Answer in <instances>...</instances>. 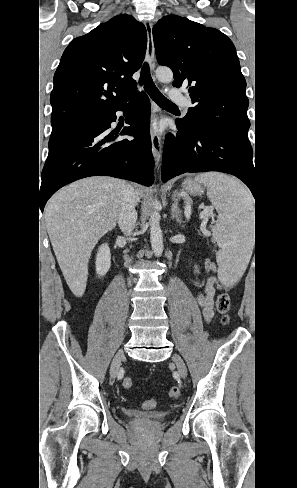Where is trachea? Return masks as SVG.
Here are the masks:
<instances>
[{
	"mask_svg": "<svg viewBox=\"0 0 297 488\" xmlns=\"http://www.w3.org/2000/svg\"><path fill=\"white\" fill-rule=\"evenodd\" d=\"M139 84L144 85V89L159 106L177 107L174 103H172L166 97H164L163 94L155 86L150 75L149 65L147 63H144L142 67Z\"/></svg>",
	"mask_w": 297,
	"mask_h": 488,
	"instance_id": "3493384b",
	"label": "trachea"
}]
</instances>
